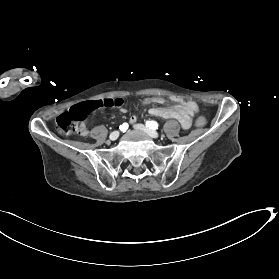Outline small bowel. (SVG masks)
<instances>
[{
    "instance_id": "c3829d8e",
    "label": "small bowel",
    "mask_w": 279,
    "mask_h": 279,
    "mask_svg": "<svg viewBox=\"0 0 279 279\" xmlns=\"http://www.w3.org/2000/svg\"><path fill=\"white\" fill-rule=\"evenodd\" d=\"M176 104L170 107H152L149 110V113L153 116H158L161 118H173L180 122L183 129H189L192 125V113L187 110V108L178 100L177 97L171 98ZM165 103V99L163 97H151L146 98L143 101L145 105H162ZM122 113H126L125 108H120ZM137 121V117L132 115L129 119L130 124H134ZM88 131L85 124H81L80 126V135H87Z\"/></svg>"
}]
</instances>
